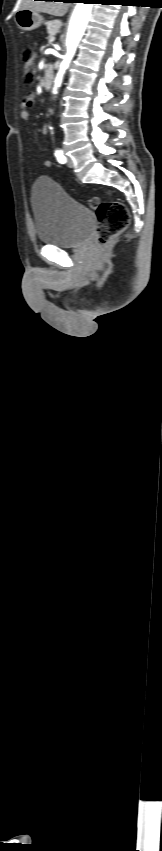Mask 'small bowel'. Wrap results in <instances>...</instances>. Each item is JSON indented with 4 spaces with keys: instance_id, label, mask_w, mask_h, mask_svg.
Here are the masks:
<instances>
[{
    "instance_id": "1",
    "label": "small bowel",
    "mask_w": 162,
    "mask_h": 851,
    "mask_svg": "<svg viewBox=\"0 0 162 851\" xmlns=\"http://www.w3.org/2000/svg\"><path fill=\"white\" fill-rule=\"evenodd\" d=\"M34 98H35V97H34V94H33V93H29V94H27L26 96H24V98L22 99V102H21V112H20V117H21V119H22L23 121H28V120L30 119V112H29V109L32 107V105H33V103H34ZM46 131H47V128H44V129H43V133H46ZM51 164H52V163H51V161H50V160H45V161H44V165H45L46 167H50V166H51Z\"/></svg>"
}]
</instances>
